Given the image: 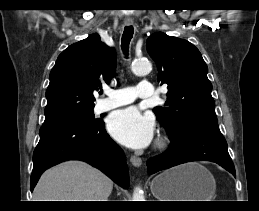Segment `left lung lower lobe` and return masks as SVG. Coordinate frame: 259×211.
<instances>
[{
  "label": "left lung lower lobe",
  "instance_id": "0a47b994",
  "mask_svg": "<svg viewBox=\"0 0 259 211\" xmlns=\"http://www.w3.org/2000/svg\"><path fill=\"white\" fill-rule=\"evenodd\" d=\"M199 160L215 162L235 176L234 164L221 132L202 127L190 128L172 139L166 152L147 161L148 173Z\"/></svg>",
  "mask_w": 259,
  "mask_h": 211
}]
</instances>
